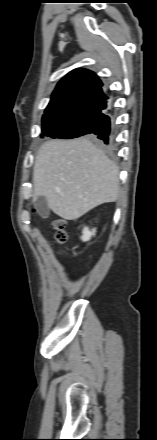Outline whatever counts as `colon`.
I'll list each match as a JSON object with an SVG mask.
<instances>
[{
  "label": "colon",
  "instance_id": "5ec220e1",
  "mask_svg": "<svg viewBox=\"0 0 157 440\" xmlns=\"http://www.w3.org/2000/svg\"><path fill=\"white\" fill-rule=\"evenodd\" d=\"M55 230V239L59 243H64L67 240L66 224L62 219H57L52 224Z\"/></svg>",
  "mask_w": 157,
  "mask_h": 440
}]
</instances>
